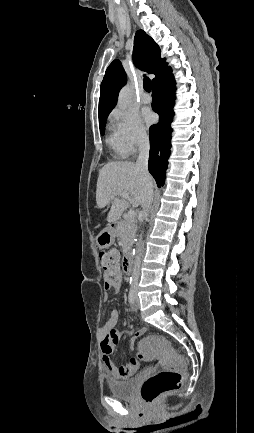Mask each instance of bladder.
Here are the masks:
<instances>
[{
  "instance_id": "1",
  "label": "bladder",
  "mask_w": 254,
  "mask_h": 433,
  "mask_svg": "<svg viewBox=\"0 0 254 433\" xmlns=\"http://www.w3.org/2000/svg\"><path fill=\"white\" fill-rule=\"evenodd\" d=\"M138 379L132 378L126 381L108 383L110 394L119 399H133L136 395V386Z\"/></svg>"
}]
</instances>
